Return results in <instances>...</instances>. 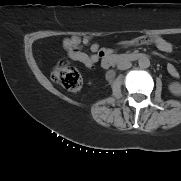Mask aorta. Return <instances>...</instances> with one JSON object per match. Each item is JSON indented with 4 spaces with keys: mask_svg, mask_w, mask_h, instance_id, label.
<instances>
[{
    "mask_svg": "<svg viewBox=\"0 0 181 181\" xmlns=\"http://www.w3.org/2000/svg\"><path fill=\"white\" fill-rule=\"evenodd\" d=\"M138 65L141 68H148L150 66L149 58L146 55H143L142 57L139 58Z\"/></svg>",
    "mask_w": 181,
    "mask_h": 181,
    "instance_id": "aorta-1",
    "label": "aorta"
}]
</instances>
